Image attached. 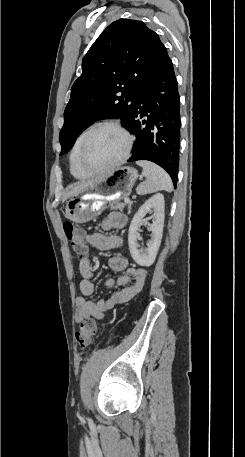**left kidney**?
<instances>
[{"instance_id": "left-kidney-1", "label": "left kidney", "mask_w": 245, "mask_h": 457, "mask_svg": "<svg viewBox=\"0 0 245 457\" xmlns=\"http://www.w3.org/2000/svg\"><path fill=\"white\" fill-rule=\"evenodd\" d=\"M164 208V196L161 192H157L138 208L131 220L128 233L129 251L132 259L140 267H151L156 259L163 233ZM147 212H153L152 216H149V218H152V224H148L149 231H151V241L147 243V249H138L140 245L137 241H141V237H139L137 231H139L140 222H142ZM145 220H148V218H145Z\"/></svg>"}]
</instances>
